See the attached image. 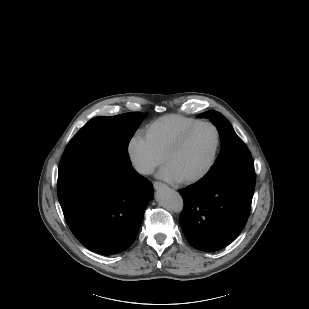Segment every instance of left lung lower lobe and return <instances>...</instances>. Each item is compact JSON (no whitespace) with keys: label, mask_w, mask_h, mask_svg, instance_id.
Masks as SVG:
<instances>
[{"label":"left lung lower lobe","mask_w":309,"mask_h":309,"mask_svg":"<svg viewBox=\"0 0 309 309\" xmlns=\"http://www.w3.org/2000/svg\"><path fill=\"white\" fill-rule=\"evenodd\" d=\"M254 186L250 158L179 190L184 200L180 223L190 245L214 252L230 244L247 222Z\"/></svg>","instance_id":"obj_1"}]
</instances>
